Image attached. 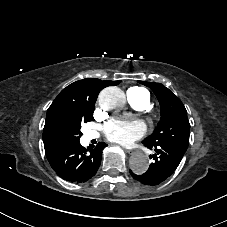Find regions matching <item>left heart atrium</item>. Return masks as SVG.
Masks as SVG:
<instances>
[{
  "instance_id": "left-heart-atrium-1",
  "label": "left heart atrium",
  "mask_w": 227,
  "mask_h": 227,
  "mask_svg": "<svg viewBox=\"0 0 227 227\" xmlns=\"http://www.w3.org/2000/svg\"><path fill=\"white\" fill-rule=\"evenodd\" d=\"M103 130L110 142L129 145L145 135L146 125L139 119H110L103 126Z\"/></svg>"
}]
</instances>
